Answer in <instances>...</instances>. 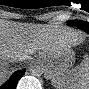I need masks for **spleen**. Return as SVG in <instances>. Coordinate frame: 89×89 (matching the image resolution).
Listing matches in <instances>:
<instances>
[{
  "label": "spleen",
  "mask_w": 89,
  "mask_h": 89,
  "mask_svg": "<svg viewBox=\"0 0 89 89\" xmlns=\"http://www.w3.org/2000/svg\"><path fill=\"white\" fill-rule=\"evenodd\" d=\"M55 88L86 89L89 86V59L84 56L81 62L73 67L62 68L56 74L49 75Z\"/></svg>",
  "instance_id": "spleen-1"
}]
</instances>
